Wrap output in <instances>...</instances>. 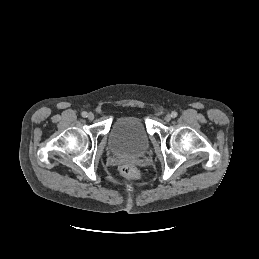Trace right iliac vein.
<instances>
[{
  "instance_id": "1",
  "label": "right iliac vein",
  "mask_w": 259,
  "mask_h": 259,
  "mask_svg": "<svg viewBox=\"0 0 259 259\" xmlns=\"http://www.w3.org/2000/svg\"><path fill=\"white\" fill-rule=\"evenodd\" d=\"M87 118H88L89 120H93V119H94V114L91 113V112L88 113Z\"/></svg>"
}]
</instances>
